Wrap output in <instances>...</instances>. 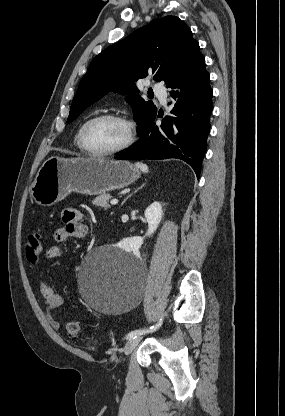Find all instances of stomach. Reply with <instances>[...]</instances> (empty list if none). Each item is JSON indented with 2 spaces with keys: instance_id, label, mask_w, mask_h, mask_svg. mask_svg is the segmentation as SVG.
I'll use <instances>...</instances> for the list:
<instances>
[{
  "instance_id": "obj_1",
  "label": "stomach",
  "mask_w": 285,
  "mask_h": 416,
  "mask_svg": "<svg viewBox=\"0 0 285 416\" xmlns=\"http://www.w3.org/2000/svg\"><path fill=\"white\" fill-rule=\"evenodd\" d=\"M140 176L139 168L123 160L52 156L38 170L30 192L39 206H53L71 192L97 196L126 188Z\"/></svg>"
}]
</instances>
